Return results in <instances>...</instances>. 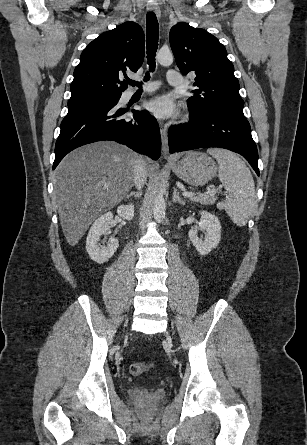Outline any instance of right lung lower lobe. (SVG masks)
<instances>
[{
    "label": "right lung lower lobe",
    "mask_w": 307,
    "mask_h": 445,
    "mask_svg": "<svg viewBox=\"0 0 307 445\" xmlns=\"http://www.w3.org/2000/svg\"><path fill=\"white\" fill-rule=\"evenodd\" d=\"M116 100H97L68 106L55 146L53 169L73 149L96 141L114 140L154 160L160 157L161 137L156 119L146 111L120 118L127 110Z\"/></svg>",
    "instance_id": "right-lung-lower-lobe-1"
}]
</instances>
